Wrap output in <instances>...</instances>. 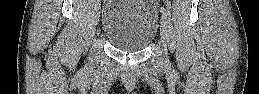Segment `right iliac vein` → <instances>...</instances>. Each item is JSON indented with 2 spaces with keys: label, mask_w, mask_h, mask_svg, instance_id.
Here are the masks:
<instances>
[{
  "label": "right iliac vein",
  "mask_w": 259,
  "mask_h": 94,
  "mask_svg": "<svg viewBox=\"0 0 259 94\" xmlns=\"http://www.w3.org/2000/svg\"><path fill=\"white\" fill-rule=\"evenodd\" d=\"M99 16H100V4L97 3L95 5V8H94V22H95V25L98 24Z\"/></svg>",
  "instance_id": "63e3f726"
}]
</instances>
